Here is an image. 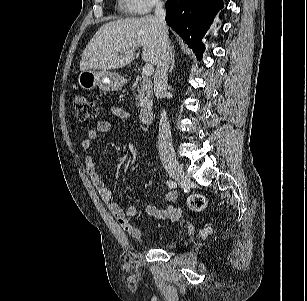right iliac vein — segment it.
Returning a JSON list of instances; mask_svg holds the SVG:
<instances>
[{
  "mask_svg": "<svg viewBox=\"0 0 307 301\" xmlns=\"http://www.w3.org/2000/svg\"><path fill=\"white\" fill-rule=\"evenodd\" d=\"M163 165L170 176H172L180 184L184 186L189 183L190 180L177 159L172 156H166L163 158Z\"/></svg>",
  "mask_w": 307,
  "mask_h": 301,
  "instance_id": "63e3f726",
  "label": "right iliac vein"
}]
</instances>
